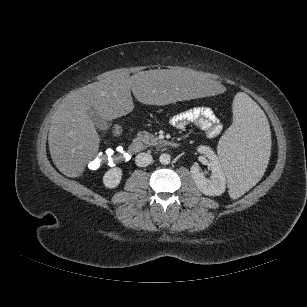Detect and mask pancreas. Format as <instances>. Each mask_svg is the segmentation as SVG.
Returning <instances> with one entry per match:
<instances>
[{
	"mask_svg": "<svg viewBox=\"0 0 307 307\" xmlns=\"http://www.w3.org/2000/svg\"><path fill=\"white\" fill-rule=\"evenodd\" d=\"M133 143L146 148L148 146H157L161 143V140L147 131H142L137 134V138L133 140Z\"/></svg>",
	"mask_w": 307,
	"mask_h": 307,
	"instance_id": "pancreas-1",
	"label": "pancreas"
}]
</instances>
